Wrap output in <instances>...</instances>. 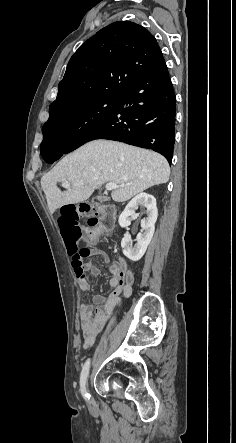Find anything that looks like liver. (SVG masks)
I'll use <instances>...</instances> for the list:
<instances>
[{"instance_id":"1","label":"liver","mask_w":236,"mask_h":443,"mask_svg":"<svg viewBox=\"0 0 236 443\" xmlns=\"http://www.w3.org/2000/svg\"><path fill=\"white\" fill-rule=\"evenodd\" d=\"M170 167L160 154L109 140L91 141L65 156L41 179L48 208L53 214L67 204L87 200L105 183L123 185L111 193L125 202L154 185L168 182ZM58 182L70 185L66 191Z\"/></svg>"}]
</instances>
